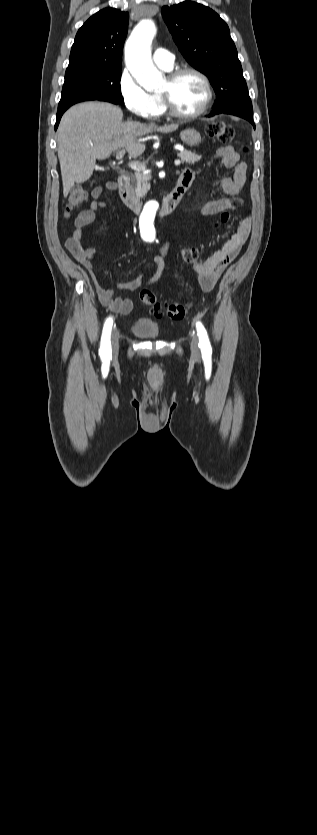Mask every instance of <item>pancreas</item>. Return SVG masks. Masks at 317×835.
Wrapping results in <instances>:
<instances>
[{"mask_svg":"<svg viewBox=\"0 0 317 835\" xmlns=\"http://www.w3.org/2000/svg\"><path fill=\"white\" fill-rule=\"evenodd\" d=\"M177 156L181 159L182 162L186 164L192 165L195 162H198L201 159V156L191 152L189 150L180 151ZM150 176L149 175H142L139 172L136 173L135 177L131 179V185L129 186V194L133 200H138L150 189Z\"/></svg>","mask_w":317,"mask_h":835,"instance_id":"pancreas-1","label":"pancreas"}]
</instances>
